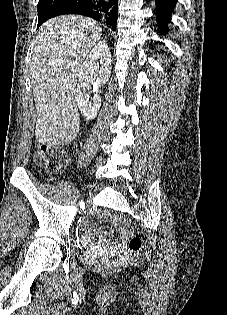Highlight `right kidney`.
<instances>
[{
    "label": "right kidney",
    "instance_id": "ca27d5eb",
    "mask_svg": "<svg viewBox=\"0 0 227 315\" xmlns=\"http://www.w3.org/2000/svg\"><path fill=\"white\" fill-rule=\"evenodd\" d=\"M111 63L110 50L105 41H100L93 47L81 66L76 89V102L86 120H93L97 116L101 106L99 88L110 78ZM99 65H101L100 68ZM97 71H99V80L94 83L93 76ZM92 85L97 89H94L96 92L94 96L90 97Z\"/></svg>",
    "mask_w": 227,
    "mask_h": 315
}]
</instances>
